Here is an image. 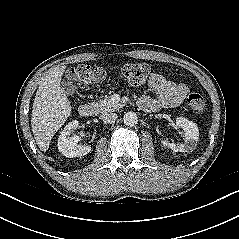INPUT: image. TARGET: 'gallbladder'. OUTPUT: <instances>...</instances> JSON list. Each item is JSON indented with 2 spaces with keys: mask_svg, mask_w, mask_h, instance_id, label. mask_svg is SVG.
Listing matches in <instances>:
<instances>
[{
  "mask_svg": "<svg viewBox=\"0 0 239 239\" xmlns=\"http://www.w3.org/2000/svg\"><path fill=\"white\" fill-rule=\"evenodd\" d=\"M62 89L66 94L72 95L75 92L76 87L72 82H70L68 80H63L62 81Z\"/></svg>",
  "mask_w": 239,
  "mask_h": 239,
  "instance_id": "bac80fb5",
  "label": "gallbladder"
}]
</instances>
